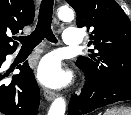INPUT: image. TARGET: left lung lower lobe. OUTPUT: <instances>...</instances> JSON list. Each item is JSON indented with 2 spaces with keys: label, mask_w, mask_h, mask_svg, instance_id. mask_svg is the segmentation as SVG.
Wrapping results in <instances>:
<instances>
[{
  "label": "left lung lower lobe",
  "mask_w": 131,
  "mask_h": 115,
  "mask_svg": "<svg viewBox=\"0 0 131 115\" xmlns=\"http://www.w3.org/2000/svg\"><path fill=\"white\" fill-rule=\"evenodd\" d=\"M85 77L81 94L71 96L68 115H85L108 104L131 100V84H107L92 80L86 74Z\"/></svg>",
  "instance_id": "1"
}]
</instances>
